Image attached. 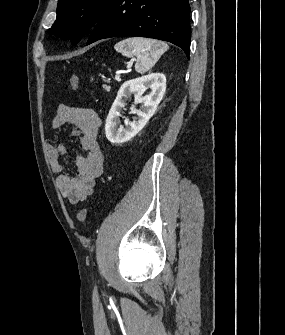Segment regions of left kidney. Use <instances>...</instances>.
Instances as JSON below:
<instances>
[{
    "label": "left kidney",
    "instance_id": "obj_1",
    "mask_svg": "<svg viewBox=\"0 0 285 335\" xmlns=\"http://www.w3.org/2000/svg\"><path fill=\"white\" fill-rule=\"evenodd\" d=\"M151 90L147 96H142L146 90ZM166 90V78L164 74H148L142 78L128 80L122 84L118 90L117 98L112 104V108L107 116L105 124V134L107 140L112 144H124L131 138H134L138 132L143 130L153 114L157 110ZM130 94H134V104H142L141 110H136L135 106L130 108L131 114H137L135 122L124 120L126 128L118 126L122 108H124V98H128ZM129 126V128H128Z\"/></svg>",
    "mask_w": 285,
    "mask_h": 335
}]
</instances>
